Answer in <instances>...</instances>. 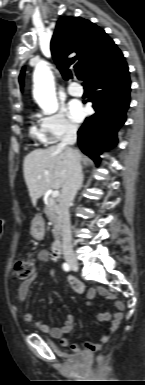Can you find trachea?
Segmentation results:
<instances>
[{
  "instance_id": "3493384b",
  "label": "trachea",
  "mask_w": 145,
  "mask_h": 385,
  "mask_svg": "<svg viewBox=\"0 0 145 385\" xmlns=\"http://www.w3.org/2000/svg\"><path fill=\"white\" fill-rule=\"evenodd\" d=\"M77 78H78L79 80H81V76H80V75H78Z\"/></svg>"
}]
</instances>
